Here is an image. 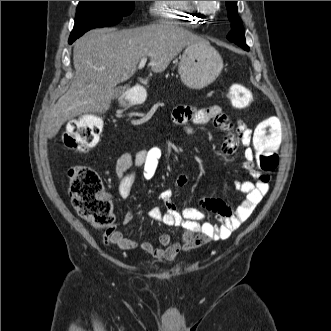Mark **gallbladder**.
Returning a JSON list of instances; mask_svg holds the SVG:
<instances>
[{
	"mask_svg": "<svg viewBox=\"0 0 331 331\" xmlns=\"http://www.w3.org/2000/svg\"><path fill=\"white\" fill-rule=\"evenodd\" d=\"M125 92V87H116L114 89L113 98H120Z\"/></svg>",
	"mask_w": 331,
	"mask_h": 331,
	"instance_id": "1",
	"label": "gallbladder"
}]
</instances>
